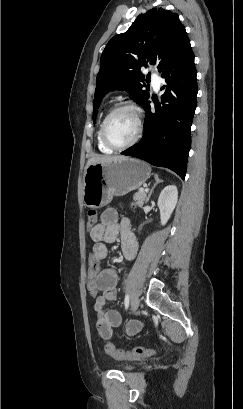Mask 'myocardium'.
Listing matches in <instances>:
<instances>
[{
    "label": "myocardium",
    "instance_id": "1",
    "mask_svg": "<svg viewBox=\"0 0 243 409\" xmlns=\"http://www.w3.org/2000/svg\"><path fill=\"white\" fill-rule=\"evenodd\" d=\"M122 110H129L133 113L135 119H136V124H137V130H136V134L135 136L128 141L125 144L122 145H117L115 143H113L107 134V125L109 120L119 111ZM143 132V120H142V113H141V109L139 108L138 105H136L133 102L130 101H125V102H121L118 105H116L104 118L102 124H101V138L104 142V144L106 146H108L109 148H111L112 150H123L125 148H128L132 145H134L141 137Z\"/></svg>",
    "mask_w": 243,
    "mask_h": 409
}]
</instances>
